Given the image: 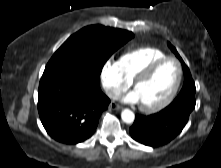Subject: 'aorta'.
I'll list each match as a JSON object with an SVG mask.
<instances>
[{"label": "aorta", "instance_id": "1", "mask_svg": "<svg viewBox=\"0 0 221 168\" xmlns=\"http://www.w3.org/2000/svg\"><path fill=\"white\" fill-rule=\"evenodd\" d=\"M121 118H122L123 122L130 124L134 121L135 115L131 110L124 109L121 113Z\"/></svg>", "mask_w": 221, "mask_h": 168}]
</instances>
